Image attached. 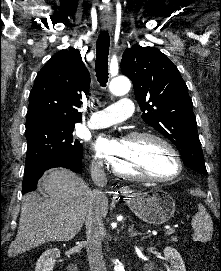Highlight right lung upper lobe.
Wrapping results in <instances>:
<instances>
[{
    "mask_svg": "<svg viewBox=\"0 0 221 271\" xmlns=\"http://www.w3.org/2000/svg\"><path fill=\"white\" fill-rule=\"evenodd\" d=\"M90 76L78 50H61L38 72L29 99L26 131L46 125L74 126L88 94Z\"/></svg>",
    "mask_w": 221,
    "mask_h": 271,
    "instance_id": "obj_1",
    "label": "right lung upper lobe"
}]
</instances>
